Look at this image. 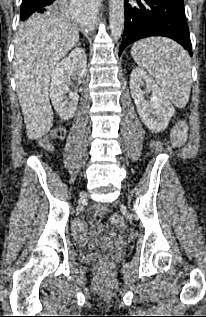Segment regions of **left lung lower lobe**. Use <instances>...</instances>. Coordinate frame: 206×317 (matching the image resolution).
I'll return each instance as SVG.
<instances>
[{"label":"left lung lower lobe","instance_id":"left-lung-lower-lobe-1","mask_svg":"<svg viewBox=\"0 0 206 317\" xmlns=\"http://www.w3.org/2000/svg\"><path fill=\"white\" fill-rule=\"evenodd\" d=\"M125 0V31L119 56L132 42L164 36L181 44L192 56L183 0Z\"/></svg>","mask_w":206,"mask_h":317}]
</instances>
